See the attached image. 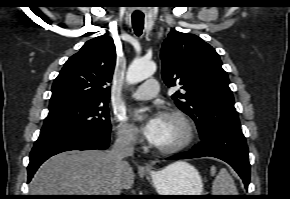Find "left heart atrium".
I'll list each match as a JSON object with an SVG mask.
<instances>
[{
	"mask_svg": "<svg viewBox=\"0 0 290 199\" xmlns=\"http://www.w3.org/2000/svg\"><path fill=\"white\" fill-rule=\"evenodd\" d=\"M161 123V116L153 115L144 120L141 124V132L145 138L150 141L152 144L156 140L159 127Z\"/></svg>",
	"mask_w": 290,
	"mask_h": 199,
	"instance_id": "obj_1",
	"label": "left heart atrium"
}]
</instances>
